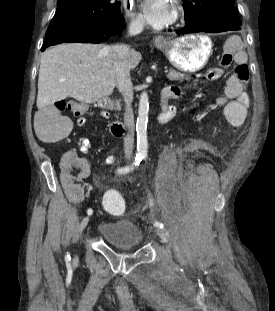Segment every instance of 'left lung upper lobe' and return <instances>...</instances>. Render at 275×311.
<instances>
[{"label":"left lung upper lobe","instance_id":"5c2ea615","mask_svg":"<svg viewBox=\"0 0 275 311\" xmlns=\"http://www.w3.org/2000/svg\"><path fill=\"white\" fill-rule=\"evenodd\" d=\"M186 23L208 17H224L233 24L242 25L234 0H182Z\"/></svg>","mask_w":275,"mask_h":311}]
</instances>
